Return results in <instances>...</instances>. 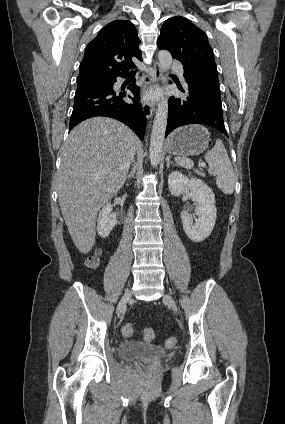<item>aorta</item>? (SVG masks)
I'll list each match as a JSON object with an SVG mask.
<instances>
[{
  "label": "aorta",
  "instance_id": "obj_1",
  "mask_svg": "<svg viewBox=\"0 0 285 424\" xmlns=\"http://www.w3.org/2000/svg\"><path fill=\"white\" fill-rule=\"evenodd\" d=\"M160 68L163 72H167L172 64V56L167 50H161L158 53ZM168 118V101L162 98L153 122V129L150 139L149 155L153 167L157 166L161 159L162 146L167 126Z\"/></svg>",
  "mask_w": 285,
  "mask_h": 424
}]
</instances>
